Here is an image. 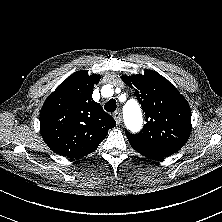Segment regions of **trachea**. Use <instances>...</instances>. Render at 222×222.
Wrapping results in <instances>:
<instances>
[{
    "label": "trachea",
    "instance_id": "obj_1",
    "mask_svg": "<svg viewBox=\"0 0 222 222\" xmlns=\"http://www.w3.org/2000/svg\"><path fill=\"white\" fill-rule=\"evenodd\" d=\"M116 100L115 99H110L105 105H104V109L107 112L113 113L116 110Z\"/></svg>",
    "mask_w": 222,
    "mask_h": 222
}]
</instances>
